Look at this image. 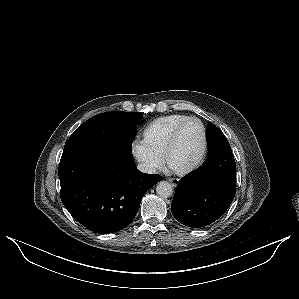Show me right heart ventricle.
I'll return each instance as SVG.
<instances>
[{
	"instance_id": "obj_1",
	"label": "right heart ventricle",
	"mask_w": 299,
	"mask_h": 299,
	"mask_svg": "<svg viewBox=\"0 0 299 299\" xmlns=\"http://www.w3.org/2000/svg\"><path fill=\"white\" fill-rule=\"evenodd\" d=\"M189 118L184 114H170L156 119L144 131L143 143L153 155L161 157L172 132Z\"/></svg>"
}]
</instances>
